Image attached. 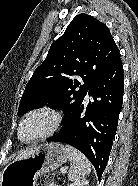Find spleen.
Segmentation results:
<instances>
[{
	"label": "spleen",
	"instance_id": "3e777b00",
	"mask_svg": "<svg viewBox=\"0 0 138 186\" xmlns=\"http://www.w3.org/2000/svg\"><path fill=\"white\" fill-rule=\"evenodd\" d=\"M70 155V171L68 179L70 181H78L91 172V164L89 160L77 149L70 145L65 146Z\"/></svg>",
	"mask_w": 138,
	"mask_h": 186
}]
</instances>
